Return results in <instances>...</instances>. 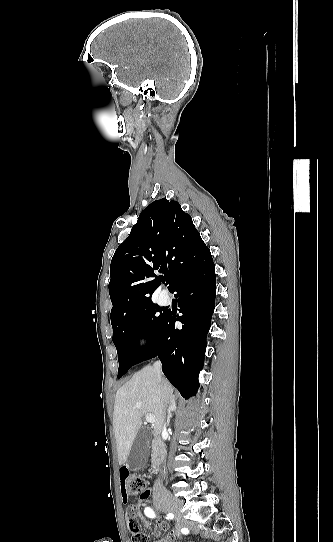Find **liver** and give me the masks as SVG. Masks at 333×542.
<instances>
[{"label": "liver", "instance_id": "6515ba94", "mask_svg": "<svg viewBox=\"0 0 333 542\" xmlns=\"http://www.w3.org/2000/svg\"><path fill=\"white\" fill-rule=\"evenodd\" d=\"M173 388L153 366L136 372L116 392L113 428L117 444L119 466L127 462L129 452L146 414L155 416L153 436L161 434L168 404L174 402Z\"/></svg>", "mask_w": 333, "mask_h": 542}]
</instances>
